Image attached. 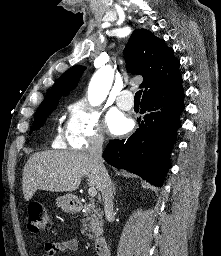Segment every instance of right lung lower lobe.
<instances>
[{"mask_svg":"<svg viewBox=\"0 0 221 256\" xmlns=\"http://www.w3.org/2000/svg\"><path fill=\"white\" fill-rule=\"evenodd\" d=\"M184 96L183 89H178L143 98L139 128L128 139L111 140L103 153L105 161L161 187L170 167L176 131L181 126Z\"/></svg>","mask_w":221,"mask_h":256,"instance_id":"obj_1","label":"right lung lower lobe"}]
</instances>
